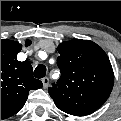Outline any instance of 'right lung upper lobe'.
<instances>
[{"mask_svg": "<svg viewBox=\"0 0 121 121\" xmlns=\"http://www.w3.org/2000/svg\"><path fill=\"white\" fill-rule=\"evenodd\" d=\"M31 44L26 40L25 46ZM22 45L11 40H1V119L16 114L25 104L30 90L42 87L33 77L31 64L17 60Z\"/></svg>", "mask_w": 121, "mask_h": 121, "instance_id": "right-lung-upper-lobe-1", "label": "right lung upper lobe"}]
</instances>
